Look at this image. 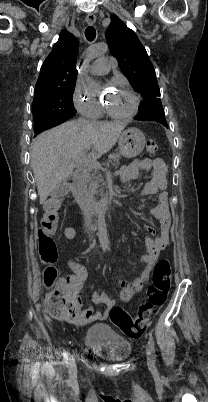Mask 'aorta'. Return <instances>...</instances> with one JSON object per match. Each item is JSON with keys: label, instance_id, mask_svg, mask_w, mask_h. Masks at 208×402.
<instances>
[{"label": "aorta", "instance_id": "762f6f07", "mask_svg": "<svg viewBox=\"0 0 208 402\" xmlns=\"http://www.w3.org/2000/svg\"><path fill=\"white\" fill-rule=\"evenodd\" d=\"M96 221L98 223L96 233L99 238V247L100 249L104 250V252H107V248L109 247V235L107 233L108 225L104 214L97 216Z\"/></svg>", "mask_w": 208, "mask_h": 402}]
</instances>
